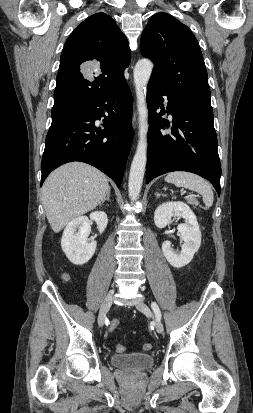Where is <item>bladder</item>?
Returning a JSON list of instances; mask_svg holds the SVG:
<instances>
[{"instance_id": "bladder-1", "label": "bladder", "mask_w": 253, "mask_h": 413, "mask_svg": "<svg viewBox=\"0 0 253 413\" xmlns=\"http://www.w3.org/2000/svg\"><path fill=\"white\" fill-rule=\"evenodd\" d=\"M111 364L117 368L129 371H142L154 364V356L149 353L133 352L114 354L110 358Z\"/></svg>"}]
</instances>
